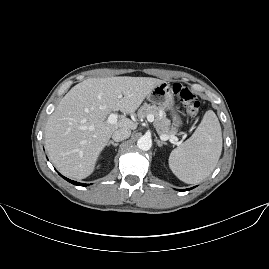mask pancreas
<instances>
[{
  "mask_svg": "<svg viewBox=\"0 0 269 269\" xmlns=\"http://www.w3.org/2000/svg\"><path fill=\"white\" fill-rule=\"evenodd\" d=\"M160 111L163 112L162 117L159 116ZM148 114L154 115L155 120L153 125L159 135H175L177 133V129L171 126V121L166 118V113L162 107L144 103L138 110V118L143 119L147 117Z\"/></svg>",
  "mask_w": 269,
  "mask_h": 269,
  "instance_id": "pancreas-1",
  "label": "pancreas"
}]
</instances>
